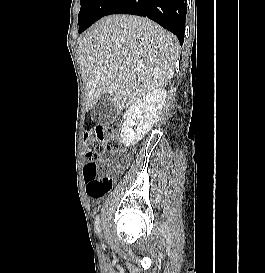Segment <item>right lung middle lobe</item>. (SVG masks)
I'll list each match as a JSON object with an SVG mask.
<instances>
[{"label":"right lung middle lobe","instance_id":"dd1d6c3e","mask_svg":"<svg viewBox=\"0 0 265 273\" xmlns=\"http://www.w3.org/2000/svg\"><path fill=\"white\" fill-rule=\"evenodd\" d=\"M116 0H81L78 15L79 33L91 26L95 21L105 16Z\"/></svg>","mask_w":265,"mask_h":273}]
</instances>
